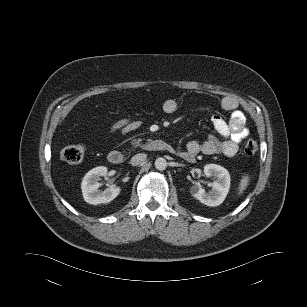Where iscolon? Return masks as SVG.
Wrapping results in <instances>:
<instances>
[{
  "label": "colon",
  "instance_id": "1",
  "mask_svg": "<svg viewBox=\"0 0 307 307\" xmlns=\"http://www.w3.org/2000/svg\"><path fill=\"white\" fill-rule=\"evenodd\" d=\"M258 150V144L255 140L249 139L244 146V153L248 156L254 155ZM61 159L69 164H78L84 157V150L79 145H70L62 149Z\"/></svg>",
  "mask_w": 307,
  "mask_h": 307
}]
</instances>
